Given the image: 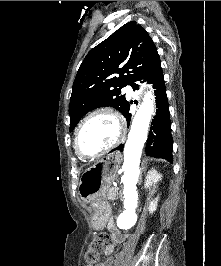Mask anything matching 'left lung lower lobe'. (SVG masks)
Returning a JSON list of instances; mask_svg holds the SVG:
<instances>
[{"label": "left lung lower lobe", "instance_id": "obj_1", "mask_svg": "<svg viewBox=\"0 0 221 266\" xmlns=\"http://www.w3.org/2000/svg\"><path fill=\"white\" fill-rule=\"evenodd\" d=\"M147 81L150 84H153V88L155 89V98H156V106L157 111L154 119L151 123V128L147 140L146 145V153L149 156L156 158H164L168 160L170 163L173 162L172 157V145L173 139L171 134V121H170V112H169V104L166 95V87L164 76L161 68V63L155 66L149 73H147L142 78L137 81L143 80ZM142 81V82H144ZM133 90H138V84L133 83ZM133 102H128L123 115L127 120L129 125L131 120V114L129 113L130 104ZM123 145H119L115 150L123 151Z\"/></svg>", "mask_w": 221, "mask_h": 266}]
</instances>
